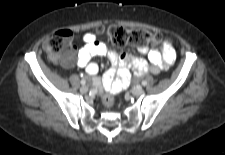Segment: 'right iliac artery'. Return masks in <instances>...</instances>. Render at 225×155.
<instances>
[{
  "label": "right iliac artery",
  "instance_id": "82829eb1",
  "mask_svg": "<svg viewBox=\"0 0 225 155\" xmlns=\"http://www.w3.org/2000/svg\"><path fill=\"white\" fill-rule=\"evenodd\" d=\"M81 84L82 85H85L86 84V81L85 80H81Z\"/></svg>",
  "mask_w": 225,
  "mask_h": 155
}]
</instances>
